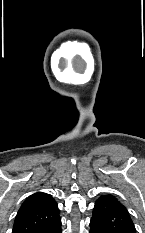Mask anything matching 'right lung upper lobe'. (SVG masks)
I'll list each match as a JSON object with an SVG mask.
<instances>
[{
	"label": "right lung upper lobe",
	"instance_id": "right-lung-upper-lobe-1",
	"mask_svg": "<svg viewBox=\"0 0 145 233\" xmlns=\"http://www.w3.org/2000/svg\"><path fill=\"white\" fill-rule=\"evenodd\" d=\"M59 219L56 201L46 193L37 192L21 205L12 233H44Z\"/></svg>",
	"mask_w": 145,
	"mask_h": 233
}]
</instances>
